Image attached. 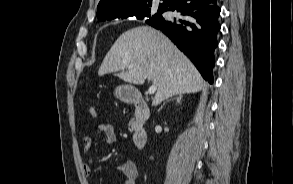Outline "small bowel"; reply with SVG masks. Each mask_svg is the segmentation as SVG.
<instances>
[{
    "mask_svg": "<svg viewBox=\"0 0 293 184\" xmlns=\"http://www.w3.org/2000/svg\"><path fill=\"white\" fill-rule=\"evenodd\" d=\"M95 129L100 132L104 138V141L108 144H112L116 141V135L114 127L110 122H98L95 125ZM93 140L90 136H85L83 139L84 153L87 160L83 164V174L89 177L93 169V160L89 156L92 148ZM117 170L124 175V184H137L139 178V172L136 163L133 160H127L117 167Z\"/></svg>",
    "mask_w": 293,
    "mask_h": 184,
    "instance_id": "obj_1",
    "label": "small bowel"
}]
</instances>
